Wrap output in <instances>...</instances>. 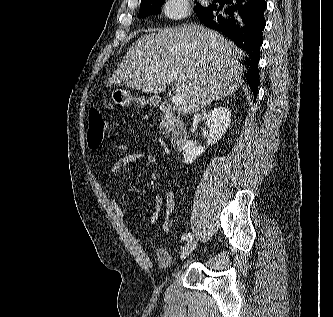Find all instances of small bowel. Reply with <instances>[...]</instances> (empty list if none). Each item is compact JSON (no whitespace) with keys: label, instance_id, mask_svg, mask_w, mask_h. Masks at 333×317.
Wrapping results in <instances>:
<instances>
[{"label":"small bowel","instance_id":"c3829d8e","mask_svg":"<svg viewBox=\"0 0 333 317\" xmlns=\"http://www.w3.org/2000/svg\"><path fill=\"white\" fill-rule=\"evenodd\" d=\"M116 147L119 149L125 148L123 145H116ZM155 161L156 157L152 153L142 148H137L119 157L112 164L111 173L117 175L126 166L135 163L153 164ZM174 206H175V196L174 192L171 189L165 190L163 195L156 196L152 212L150 215L148 228L155 229L158 226L160 213L164 209L165 218L162 225V231L165 234L169 233L171 230L169 227V221L170 218L174 215Z\"/></svg>","mask_w":333,"mask_h":317}]
</instances>
